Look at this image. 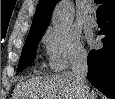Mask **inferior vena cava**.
I'll return each mask as SVG.
<instances>
[{"mask_svg": "<svg viewBox=\"0 0 115 99\" xmlns=\"http://www.w3.org/2000/svg\"><path fill=\"white\" fill-rule=\"evenodd\" d=\"M88 72L87 54H78L72 62V77L81 94V99H91L87 86L86 75Z\"/></svg>", "mask_w": 115, "mask_h": 99, "instance_id": "obj_1", "label": "inferior vena cava"}]
</instances>
